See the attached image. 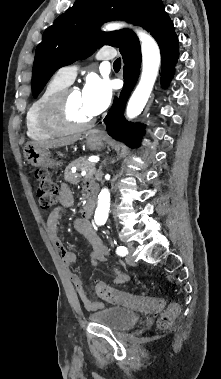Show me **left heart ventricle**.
I'll return each instance as SVG.
<instances>
[{
    "label": "left heart ventricle",
    "instance_id": "1",
    "mask_svg": "<svg viewBox=\"0 0 221 379\" xmlns=\"http://www.w3.org/2000/svg\"><path fill=\"white\" fill-rule=\"evenodd\" d=\"M68 115L71 121L81 123L89 120L93 116L86 109L82 93L79 90H73L68 100Z\"/></svg>",
    "mask_w": 221,
    "mask_h": 379
}]
</instances>
